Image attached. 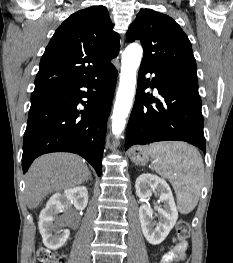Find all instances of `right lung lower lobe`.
Segmentation results:
<instances>
[{"mask_svg": "<svg viewBox=\"0 0 233 263\" xmlns=\"http://www.w3.org/2000/svg\"><path fill=\"white\" fill-rule=\"evenodd\" d=\"M116 77L110 63L87 79L32 93L23 142L24 173L38 156L66 151L81 155L101 175ZM84 97L87 103L82 101Z\"/></svg>", "mask_w": 233, "mask_h": 263, "instance_id": "obj_1", "label": "right lung lower lobe"}]
</instances>
